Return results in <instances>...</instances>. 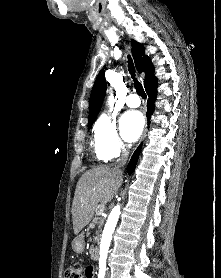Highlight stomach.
<instances>
[{"mask_svg":"<svg viewBox=\"0 0 221 278\" xmlns=\"http://www.w3.org/2000/svg\"><path fill=\"white\" fill-rule=\"evenodd\" d=\"M72 249L75 253H82L84 250V240L82 237H76L72 242Z\"/></svg>","mask_w":221,"mask_h":278,"instance_id":"stomach-1","label":"stomach"}]
</instances>
